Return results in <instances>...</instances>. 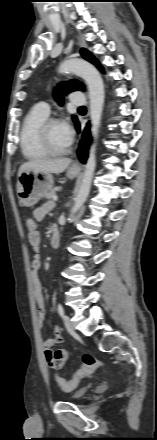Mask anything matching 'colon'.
I'll use <instances>...</instances> for the list:
<instances>
[{
    "label": "colon",
    "instance_id": "obj_1",
    "mask_svg": "<svg viewBox=\"0 0 157 440\" xmlns=\"http://www.w3.org/2000/svg\"><path fill=\"white\" fill-rule=\"evenodd\" d=\"M26 228L29 233H33L37 231V221L34 217H28L25 221ZM55 356L61 355V349H56L53 351ZM103 366V363L97 359L92 354H84L83 355V366L74 374L71 380L67 381L61 376L56 377V382L58 386L64 391H71L75 389L80 381L93 372L95 369H98Z\"/></svg>",
    "mask_w": 157,
    "mask_h": 440
}]
</instances>
